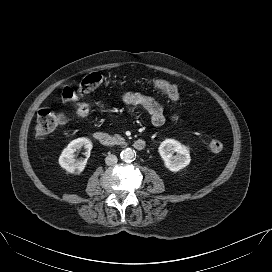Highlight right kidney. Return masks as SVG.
Wrapping results in <instances>:
<instances>
[{
  "label": "right kidney",
  "mask_w": 272,
  "mask_h": 272,
  "mask_svg": "<svg viewBox=\"0 0 272 272\" xmlns=\"http://www.w3.org/2000/svg\"><path fill=\"white\" fill-rule=\"evenodd\" d=\"M84 147L86 149V157L89 158L90 152L92 150V142L88 138H78L71 141L67 147L62 151L59 157L60 166L67 172L79 175L85 168L87 163V158L83 161H78L75 159L74 153L76 150Z\"/></svg>",
  "instance_id": "1"
}]
</instances>
